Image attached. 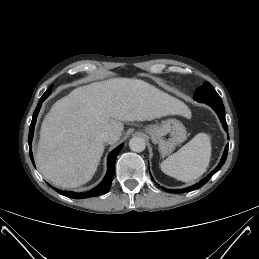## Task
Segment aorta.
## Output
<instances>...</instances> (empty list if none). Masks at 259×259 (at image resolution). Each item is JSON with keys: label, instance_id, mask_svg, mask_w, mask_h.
Listing matches in <instances>:
<instances>
[{"label": "aorta", "instance_id": "762f6f07", "mask_svg": "<svg viewBox=\"0 0 259 259\" xmlns=\"http://www.w3.org/2000/svg\"><path fill=\"white\" fill-rule=\"evenodd\" d=\"M129 148L134 152H142L146 148V142L142 137H133L129 141Z\"/></svg>", "mask_w": 259, "mask_h": 259}]
</instances>
